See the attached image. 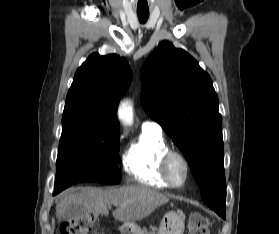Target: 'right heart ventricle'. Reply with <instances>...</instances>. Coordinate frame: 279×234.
Masks as SVG:
<instances>
[{"mask_svg":"<svg viewBox=\"0 0 279 234\" xmlns=\"http://www.w3.org/2000/svg\"><path fill=\"white\" fill-rule=\"evenodd\" d=\"M169 145L161 133L142 130L138 139L124 152L125 172L135 181L154 188H169L160 170L161 157Z\"/></svg>","mask_w":279,"mask_h":234,"instance_id":"e07e8e85","label":"right heart ventricle"}]
</instances>
